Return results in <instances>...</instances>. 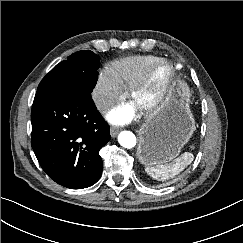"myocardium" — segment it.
Returning <instances> with one entry per match:
<instances>
[{"label": "myocardium", "instance_id": "f54148a6", "mask_svg": "<svg viewBox=\"0 0 243 243\" xmlns=\"http://www.w3.org/2000/svg\"><path fill=\"white\" fill-rule=\"evenodd\" d=\"M162 66L168 68V74L160 91L152 100L138 107V109L146 116L156 114L165 105L176 80V69L174 64L167 59L159 58L147 69L139 80L129 87L127 92L128 99L130 102H133L137 94L142 92L152 82L156 71Z\"/></svg>", "mask_w": 243, "mask_h": 243}]
</instances>
